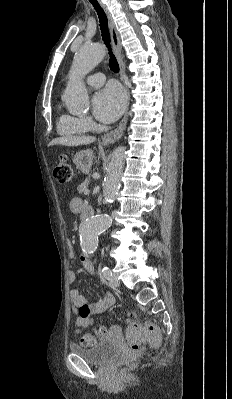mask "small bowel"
Listing matches in <instances>:
<instances>
[{"label":"small bowel","instance_id":"small-bowel-1","mask_svg":"<svg viewBox=\"0 0 232 399\" xmlns=\"http://www.w3.org/2000/svg\"><path fill=\"white\" fill-rule=\"evenodd\" d=\"M80 200L78 197H73L70 202V208L73 211H77L80 208ZM69 249V258H78L82 264V267L92 276L95 275V268L88 261V255L86 252L81 251L77 254L73 241L68 240L67 242ZM69 283L73 285L76 283L75 273H70ZM70 308L75 319V326L82 330H89L98 333L100 337H107L112 333L119 332L120 327L118 324H112L110 326H96L92 320L91 315L93 313L103 312L109 309L114 304V296L112 294H106V296L94 305L90 306L84 296L79 294L76 290L69 292Z\"/></svg>","mask_w":232,"mask_h":399}]
</instances>
